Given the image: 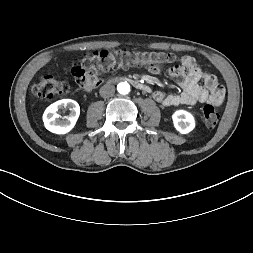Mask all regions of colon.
Here are the masks:
<instances>
[{
  "label": "colon",
  "instance_id": "colon-1",
  "mask_svg": "<svg viewBox=\"0 0 253 253\" xmlns=\"http://www.w3.org/2000/svg\"><path fill=\"white\" fill-rule=\"evenodd\" d=\"M177 56L170 52L116 49L93 52L85 55L74 63L72 75L75 82L82 88H95L104 83V71L127 68L131 66H150L153 62L165 65L174 63ZM69 86L52 76H42L32 88L33 94L39 99H51L64 94ZM205 123L213 127L219 121V113L213 104L203 107Z\"/></svg>",
  "mask_w": 253,
  "mask_h": 253
}]
</instances>
